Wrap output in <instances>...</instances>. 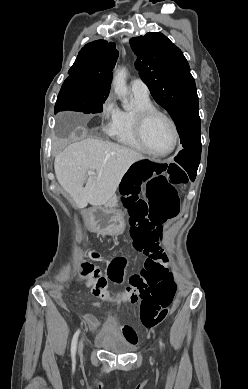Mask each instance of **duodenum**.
Segmentation results:
<instances>
[{"instance_id": "1", "label": "duodenum", "mask_w": 248, "mask_h": 389, "mask_svg": "<svg viewBox=\"0 0 248 389\" xmlns=\"http://www.w3.org/2000/svg\"><path fill=\"white\" fill-rule=\"evenodd\" d=\"M91 213H93V212H91ZM89 214H90V213H89ZM89 214H88V215H89ZM88 215H86V217H85L86 219H88Z\"/></svg>"}]
</instances>
